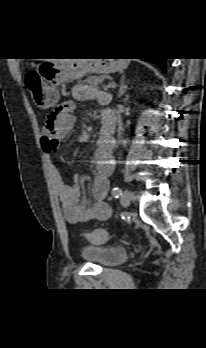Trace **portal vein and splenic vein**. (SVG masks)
<instances>
[{
  "mask_svg": "<svg viewBox=\"0 0 206 348\" xmlns=\"http://www.w3.org/2000/svg\"><path fill=\"white\" fill-rule=\"evenodd\" d=\"M116 87V83L112 82V83H109L106 88H115Z\"/></svg>",
  "mask_w": 206,
  "mask_h": 348,
  "instance_id": "18ae733b",
  "label": "portal vein and splenic vein"
}]
</instances>
